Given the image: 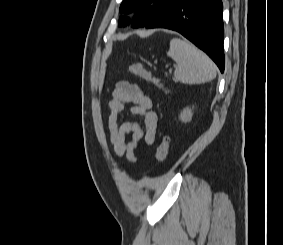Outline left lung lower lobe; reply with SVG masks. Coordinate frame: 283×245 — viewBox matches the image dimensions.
Masks as SVG:
<instances>
[{
  "label": "left lung lower lobe",
  "instance_id": "left-lung-lower-lobe-1",
  "mask_svg": "<svg viewBox=\"0 0 283 245\" xmlns=\"http://www.w3.org/2000/svg\"><path fill=\"white\" fill-rule=\"evenodd\" d=\"M223 5L221 0H173L146 28L179 32L224 71Z\"/></svg>",
  "mask_w": 283,
  "mask_h": 245
}]
</instances>
